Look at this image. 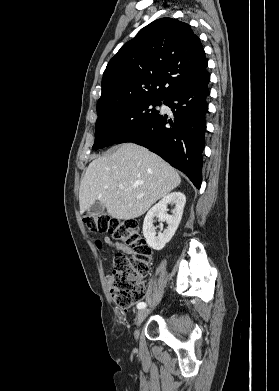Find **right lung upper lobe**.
<instances>
[{"mask_svg":"<svg viewBox=\"0 0 279 391\" xmlns=\"http://www.w3.org/2000/svg\"><path fill=\"white\" fill-rule=\"evenodd\" d=\"M206 67L200 39L187 23L155 20L109 61L97 113L142 99L165 100L199 78Z\"/></svg>","mask_w":279,"mask_h":391,"instance_id":"obj_1","label":"right lung upper lobe"}]
</instances>
